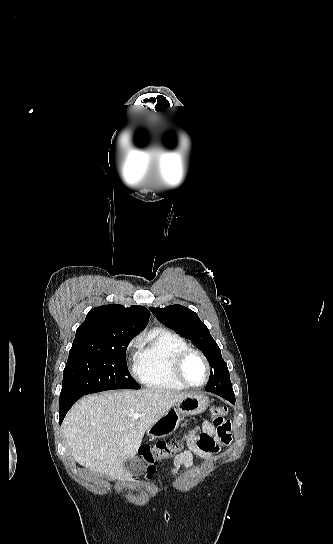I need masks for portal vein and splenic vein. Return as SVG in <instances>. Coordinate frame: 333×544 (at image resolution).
<instances>
[{
  "instance_id": "18ae733b",
  "label": "portal vein and splenic vein",
  "mask_w": 333,
  "mask_h": 544,
  "mask_svg": "<svg viewBox=\"0 0 333 544\" xmlns=\"http://www.w3.org/2000/svg\"><path fill=\"white\" fill-rule=\"evenodd\" d=\"M140 416H141V414H139V413H134V414L132 415V419H133V420H137Z\"/></svg>"
}]
</instances>
